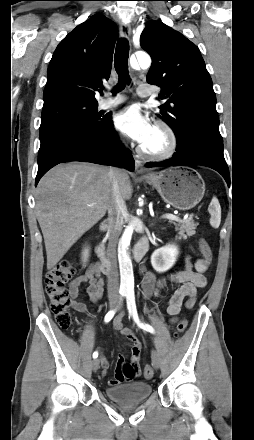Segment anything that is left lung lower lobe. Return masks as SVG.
Listing matches in <instances>:
<instances>
[{
  "instance_id": "obj_1",
  "label": "left lung lower lobe",
  "mask_w": 254,
  "mask_h": 440,
  "mask_svg": "<svg viewBox=\"0 0 254 440\" xmlns=\"http://www.w3.org/2000/svg\"><path fill=\"white\" fill-rule=\"evenodd\" d=\"M202 165L218 171L230 184L229 169L223 155L219 129L196 127L190 130L183 144L177 143L176 153L169 160L148 162L146 167Z\"/></svg>"
}]
</instances>
